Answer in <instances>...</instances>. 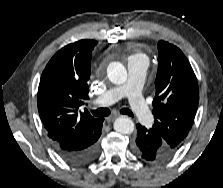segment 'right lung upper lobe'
Segmentation results:
<instances>
[{
	"label": "right lung upper lobe",
	"mask_w": 223,
	"mask_h": 188,
	"mask_svg": "<svg viewBox=\"0 0 223 188\" xmlns=\"http://www.w3.org/2000/svg\"><path fill=\"white\" fill-rule=\"evenodd\" d=\"M97 41L80 40L59 50L46 65L38 88L40 118L52 142L78 141L101 118L78 109L88 99L91 57Z\"/></svg>",
	"instance_id": "1"
}]
</instances>
